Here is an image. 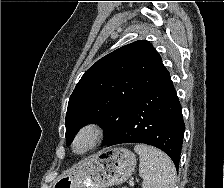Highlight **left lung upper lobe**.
Listing matches in <instances>:
<instances>
[{
  "mask_svg": "<svg viewBox=\"0 0 224 188\" xmlns=\"http://www.w3.org/2000/svg\"><path fill=\"white\" fill-rule=\"evenodd\" d=\"M169 72L151 43L138 40L104 56L77 83L66 113V143L88 123L102 126L103 145L122 125L136 99Z\"/></svg>",
  "mask_w": 224,
  "mask_h": 188,
  "instance_id": "1",
  "label": "left lung upper lobe"
}]
</instances>
